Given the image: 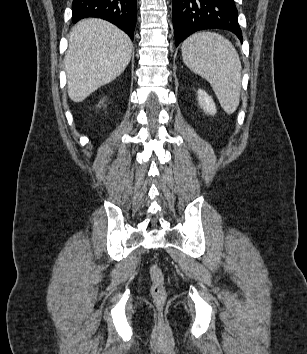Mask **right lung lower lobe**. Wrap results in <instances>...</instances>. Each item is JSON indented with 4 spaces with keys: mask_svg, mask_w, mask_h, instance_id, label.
<instances>
[{
    "mask_svg": "<svg viewBox=\"0 0 307 354\" xmlns=\"http://www.w3.org/2000/svg\"><path fill=\"white\" fill-rule=\"evenodd\" d=\"M137 0H73V22L85 17H98L105 19L124 32L131 39L137 18Z\"/></svg>",
    "mask_w": 307,
    "mask_h": 354,
    "instance_id": "right-lung-lower-lobe-1",
    "label": "right lung lower lobe"
}]
</instances>
